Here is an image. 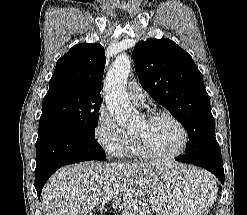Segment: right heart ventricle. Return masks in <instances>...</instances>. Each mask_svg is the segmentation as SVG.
Listing matches in <instances>:
<instances>
[{"label": "right heart ventricle", "instance_id": "e07e8e85", "mask_svg": "<svg viewBox=\"0 0 247 215\" xmlns=\"http://www.w3.org/2000/svg\"><path fill=\"white\" fill-rule=\"evenodd\" d=\"M123 156L133 157V158H137L141 156V154L137 149L135 139L132 134H127V143L123 152Z\"/></svg>", "mask_w": 247, "mask_h": 215}]
</instances>
